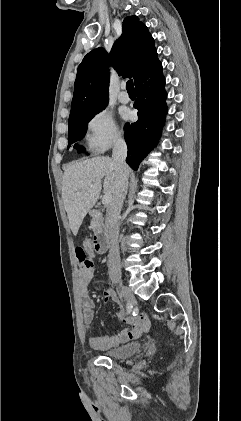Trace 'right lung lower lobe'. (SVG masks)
<instances>
[{
  "instance_id": "right-lung-lower-lobe-1",
  "label": "right lung lower lobe",
  "mask_w": 241,
  "mask_h": 421,
  "mask_svg": "<svg viewBox=\"0 0 241 421\" xmlns=\"http://www.w3.org/2000/svg\"><path fill=\"white\" fill-rule=\"evenodd\" d=\"M165 78L158 58L139 77L135 86L138 99L134 107L138 109V121L125 124V141L128 146L127 164L134 170L157 144L167 113L164 89Z\"/></svg>"
}]
</instances>
